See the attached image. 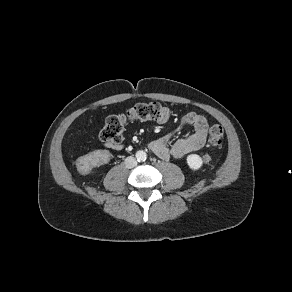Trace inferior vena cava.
Returning a JSON list of instances; mask_svg holds the SVG:
<instances>
[{"label": "inferior vena cava", "mask_w": 292, "mask_h": 292, "mask_svg": "<svg viewBox=\"0 0 292 292\" xmlns=\"http://www.w3.org/2000/svg\"><path fill=\"white\" fill-rule=\"evenodd\" d=\"M137 165V160L133 156H129L125 159V166L126 168H133Z\"/></svg>", "instance_id": "602c4592"}]
</instances>
